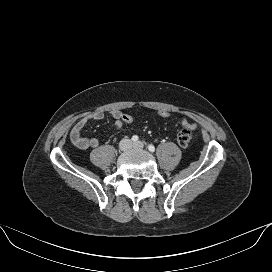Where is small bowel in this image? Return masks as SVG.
<instances>
[{
	"label": "small bowel",
	"mask_w": 272,
	"mask_h": 272,
	"mask_svg": "<svg viewBox=\"0 0 272 272\" xmlns=\"http://www.w3.org/2000/svg\"><path fill=\"white\" fill-rule=\"evenodd\" d=\"M111 117L114 120V129L120 131L124 127V122L121 120L122 112L119 110H113L110 112ZM104 118L103 111H95L87 116L79 119L70 131V141L74 146L81 150H87L89 148H96L100 144V139L97 137L87 138L82 135V131L87 123L91 120L99 121ZM181 124L184 128L194 130L196 125L190 123L187 119L183 118Z\"/></svg>",
	"instance_id": "c3829d8e"
}]
</instances>
